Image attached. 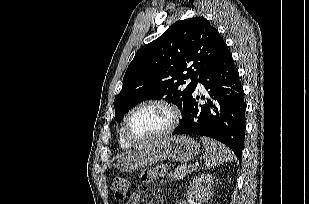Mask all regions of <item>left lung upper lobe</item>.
<instances>
[{"instance_id": "5c2ea615", "label": "left lung upper lobe", "mask_w": 309, "mask_h": 204, "mask_svg": "<svg viewBox=\"0 0 309 204\" xmlns=\"http://www.w3.org/2000/svg\"><path fill=\"white\" fill-rule=\"evenodd\" d=\"M226 47L219 32L203 17L171 25L162 36L143 46L129 64L122 90L114 100L116 121L148 99L165 98L184 110L201 75ZM186 79L192 81L185 87Z\"/></svg>"}]
</instances>
